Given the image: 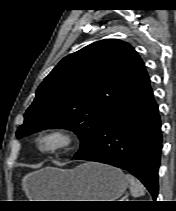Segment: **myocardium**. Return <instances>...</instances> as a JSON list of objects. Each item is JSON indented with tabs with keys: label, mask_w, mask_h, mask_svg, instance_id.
Instances as JSON below:
<instances>
[{
	"label": "myocardium",
	"mask_w": 176,
	"mask_h": 211,
	"mask_svg": "<svg viewBox=\"0 0 176 211\" xmlns=\"http://www.w3.org/2000/svg\"><path fill=\"white\" fill-rule=\"evenodd\" d=\"M76 144L75 135L62 126H52L41 130L36 136L37 149L47 155L71 151Z\"/></svg>",
	"instance_id": "1"
}]
</instances>
